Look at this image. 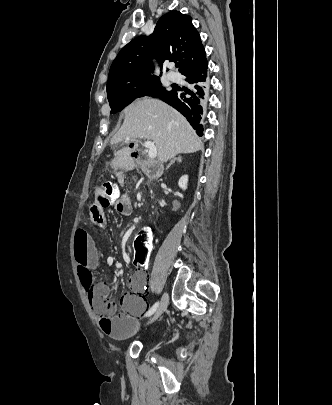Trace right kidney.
Masks as SVG:
<instances>
[{
	"label": "right kidney",
	"instance_id": "1",
	"mask_svg": "<svg viewBox=\"0 0 332 405\" xmlns=\"http://www.w3.org/2000/svg\"><path fill=\"white\" fill-rule=\"evenodd\" d=\"M187 184H188V175H184L179 179L178 186L181 189L186 190L187 189Z\"/></svg>",
	"mask_w": 332,
	"mask_h": 405
}]
</instances>
